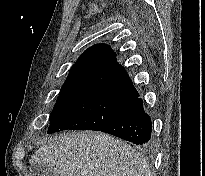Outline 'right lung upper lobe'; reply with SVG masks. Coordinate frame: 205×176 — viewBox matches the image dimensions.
<instances>
[{
    "label": "right lung upper lobe",
    "mask_w": 205,
    "mask_h": 176,
    "mask_svg": "<svg viewBox=\"0 0 205 176\" xmlns=\"http://www.w3.org/2000/svg\"><path fill=\"white\" fill-rule=\"evenodd\" d=\"M80 93H103L128 100L139 95L107 44L94 45L82 53L72 66L60 96Z\"/></svg>",
    "instance_id": "1"
}]
</instances>
